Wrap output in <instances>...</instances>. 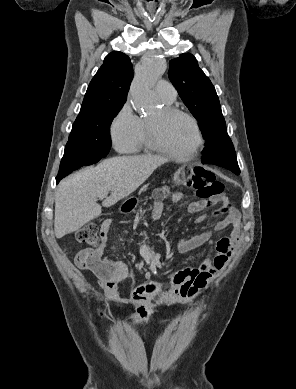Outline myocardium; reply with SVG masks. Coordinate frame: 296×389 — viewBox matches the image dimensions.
<instances>
[{
	"label": "myocardium",
	"instance_id": "1",
	"mask_svg": "<svg viewBox=\"0 0 296 389\" xmlns=\"http://www.w3.org/2000/svg\"><path fill=\"white\" fill-rule=\"evenodd\" d=\"M162 111L165 115H178L188 119L191 122L195 131V143L188 152L183 154L175 153L160 143V141L156 137L153 126L149 121H146V134L149 147L160 154H163L178 161H189L195 158L199 150L201 149L204 141L202 130L197 119L189 112L171 105H165L162 108Z\"/></svg>",
	"mask_w": 296,
	"mask_h": 389
}]
</instances>
